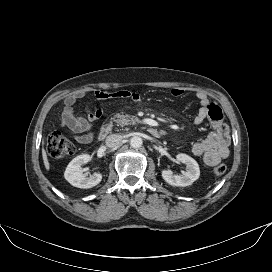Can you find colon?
Here are the masks:
<instances>
[{
  "mask_svg": "<svg viewBox=\"0 0 272 272\" xmlns=\"http://www.w3.org/2000/svg\"><path fill=\"white\" fill-rule=\"evenodd\" d=\"M73 143L66 138L61 132L53 131L48 136V151L53 158L62 159L74 153ZM213 174L221 176L226 171L224 164H218L213 168Z\"/></svg>",
  "mask_w": 272,
  "mask_h": 272,
  "instance_id": "colon-1",
  "label": "colon"
}]
</instances>
